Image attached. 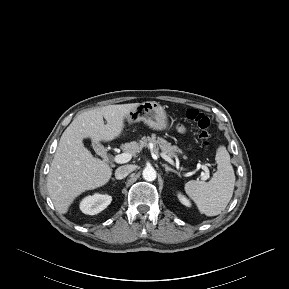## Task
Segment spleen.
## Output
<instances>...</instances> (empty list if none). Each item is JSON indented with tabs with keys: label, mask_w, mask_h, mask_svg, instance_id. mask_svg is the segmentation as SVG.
Masks as SVG:
<instances>
[{
	"label": "spleen",
	"mask_w": 289,
	"mask_h": 289,
	"mask_svg": "<svg viewBox=\"0 0 289 289\" xmlns=\"http://www.w3.org/2000/svg\"><path fill=\"white\" fill-rule=\"evenodd\" d=\"M215 159L217 171L209 182L191 180L184 187L200 213L206 216L219 215L226 208L235 185L234 170L225 146L218 147Z\"/></svg>",
	"instance_id": "obj_1"
}]
</instances>
